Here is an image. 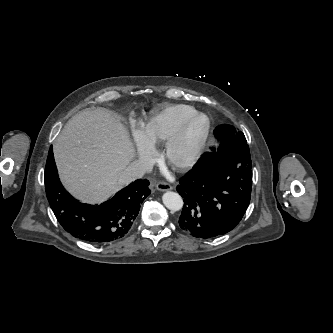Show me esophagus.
<instances>
[{"mask_svg": "<svg viewBox=\"0 0 333 333\" xmlns=\"http://www.w3.org/2000/svg\"><path fill=\"white\" fill-rule=\"evenodd\" d=\"M156 189L159 190V191H169L172 189V186L168 183H165V182H159L156 184Z\"/></svg>", "mask_w": 333, "mask_h": 333, "instance_id": "esophagus-1", "label": "esophagus"}]
</instances>
